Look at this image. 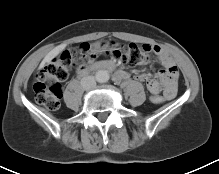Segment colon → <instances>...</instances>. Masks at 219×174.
<instances>
[{"mask_svg":"<svg viewBox=\"0 0 219 174\" xmlns=\"http://www.w3.org/2000/svg\"><path fill=\"white\" fill-rule=\"evenodd\" d=\"M100 53L128 66L144 65L150 61L149 52L133 43L128 45L103 43L99 46L84 43L77 50L63 52L39 71L33 82L35 101L49 110L58 109L62 97L60 82L68 77L76 63L90 62ZM151 101L162 104L165 98L161 94H151Z\"/></svg>","mask_w":219,"mask_h":174,"instance_id":"1","label":"colon"}]
</instances>
